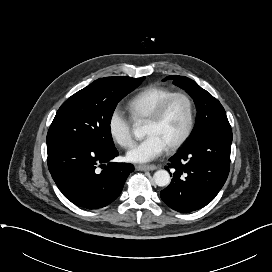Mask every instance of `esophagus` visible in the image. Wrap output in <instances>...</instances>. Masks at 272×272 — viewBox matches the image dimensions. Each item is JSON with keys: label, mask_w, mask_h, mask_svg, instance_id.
I'll return each mask as SVG.
<instances>
[{"label": "esophagus", "mask_w": 272, "mask_h": 272, "mask_svg": "<svg viewBox=\"0 0 272 272\" xmlns=\"http://www.w3.org/2000/svg\"><path fill=\"white\" fill-rule=\"evenodd\" d=\"M136 169L140 171H153L156 170L157 167L155 165H137Z\"/></svg>", "instance_id": "esophagus-1"}]
</instances>
